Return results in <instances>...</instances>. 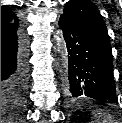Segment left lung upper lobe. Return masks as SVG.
<instances>
[{
	"mask_svg": "<svg viewBox=\"0 0 122 123\" xmlns=\"http://www.w3.org/2000/svg\"><path fill=\"white\" fill-rule=\"evenodd\" d=\"M63 15L89 28L110 42L105 22L98 8L91 1L70 0L64 8Z\"/></svg>",
	"mask_w": 122,
	"mask_h": 123,
	"instance_id": "5c2ea615",
	"label": "left lung upper lobe"
}]
</instances>
